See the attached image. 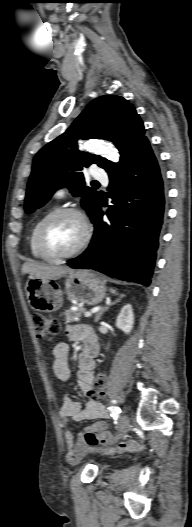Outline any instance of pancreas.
<instances>
[{
	"mask_svg": "<svg viewBox=\"0 0 192 527\" xmlns=\"http://www.w3.org/2000/svg\"><path fill=\"white\" fill-rule=\"evenodd\" d=\"M84 312H85V308H79L77 310H71V309L66 310L64 313L66 316L65 317L66 323L80 321L82 313Z\"/></svg>",
	"mask_w": 192,
	"mask_h": 527,
	"instance_id": "cf45deb5",
	"label": "pancreas"
}]
</instances>
